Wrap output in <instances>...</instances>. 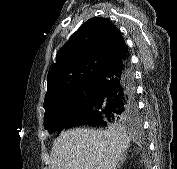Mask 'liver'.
<instances>
[{
    "label": "liver",
    "mask_w": 177,
    "mask_h": 169,
    "mask_svg": "<svg viewBox=\"0 0 177 169\" xmlns=\"http://www.w3.org/2000/svg\"><path fill=\"white\" fill-rule=\"evenodd\" d=\"M129 145L123 127L71 129L54 141L51 169H116L125 160Z\"/></svg>",
    "instance_id": "liver-1"
}]
</instances>
